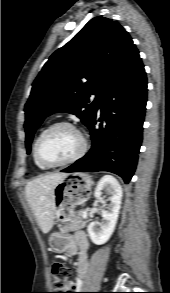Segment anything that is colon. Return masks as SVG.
Instances as JSON below:
<instances>
[{
  "mask_svg": "<svg viewBox=\"0 0 170 293\" xmlns=\"http://www.w3.org/2000/svg\"><path fill=\"white\" fill-rule=\"evenodd\" d=\"M70 270L64 265V263L55 261L52 264V278L53 283L59 288L63 289L70 277ZM64 293V292H56Z\"/></svg>",
  "mask_w": 170,
  "mask_h": 293,
  "instance_id": "5ec220e1",
  "label": "colon"
}]
</instances>
